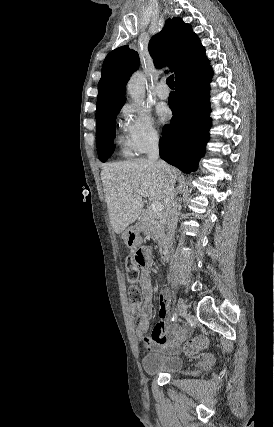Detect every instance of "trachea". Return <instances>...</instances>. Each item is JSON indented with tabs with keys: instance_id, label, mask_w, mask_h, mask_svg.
<instances>
[{
	"instance_id": "1",
	"label": "trachea",
	"mask_w": 274,
	"mask_h": 427,
	"mask_svg": "<svg viewBox=\"0 0 274 427\" xmlns=\"http://www.w3.org/2000/svg\"><path fill=\"white\" fill-rule=\"evenodd\" d=\"M166 83L170 88H174V76L170 75V77L167 78Z\"/></svg>"
}]
</instances>
